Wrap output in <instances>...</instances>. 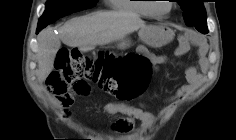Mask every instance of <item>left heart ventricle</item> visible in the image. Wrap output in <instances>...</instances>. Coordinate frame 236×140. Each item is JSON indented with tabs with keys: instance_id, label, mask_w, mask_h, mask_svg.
Listing matches in <instances>:
<instances>
[{
	"instance_id": "left-heart-ventricle-1",
	"label": "left heart ventricle",
	"mask_w": 236,
	"mask_h": 140,
	"mask_svg": "<svg viewBox=\"0 0 236 140\" xmlns=\"http://www.w3.org/2000/svg\"><path fill=\"white\" fill-rule=\"evenodd\" d=\"M169 5V2L158 3L156 8L160 13H166L169 10Z\"/></svg>"
}]
</instances>
